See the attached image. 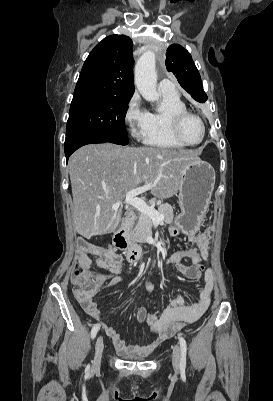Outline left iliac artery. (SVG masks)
I'll use <instances>...</instances> for the list:
<instances>
[{"label":"left iliac artery","instance_id":"obj_1","mask_svg":"<svg viewBox=\"0 0 273 401\" xmlns=\"http://www.w3.org/2000/svg\"><path fill=\"white\" fill-rule=\"evenodd\" d=\"M178 336H179V343H180V348H181L180 368L185 369L187 344H186L185 339L181 335H178Z\"/></svg>","mask_w":273,"mask_h":401}]
</instances>
